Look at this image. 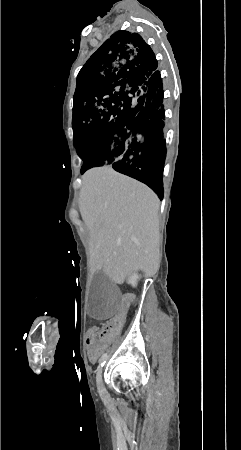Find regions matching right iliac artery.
Listing matches in <instances>:
<instances>
[{"mask_svg":"<svg viewBox=\"0 0 241 450\" xmlns=\"http://www.w3.org/2000/svg\"><path fill=\"white\" fill-rule=\"evenodd\" d=\"M106 357H107V354H106V353L103 354V356H102V358H101V361H100L101 366L104 365Z\"/></svg>","mask_w":241,"mask_h":450,"instance_id":"right-iliac-artery-1","label":"right iliac artery"}]
</instances>
